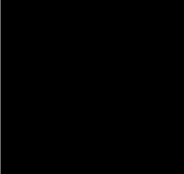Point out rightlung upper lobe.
Wrapping results in <instances>:
<instances>
[{
  "label": "right lung upper lobe",
  "mask_w": 184,
  "mask_h": 174,
  "mask_svg": "<svg viewBox=\"0 0 184 174\" xmlns=\"http://www.w3.org/2000/svg\"><path fill=\"white\" fill-rule=\"evenodd\" d=\"M40 83L45 88L46 94V108H37L35 111L40 117L41 115H55V109L62 105L65 88L62 83V70L59 65H51L46 68L41 76Z\"/></svg>",
  "instance_id": "cb5924a9"
}]
</instances>
